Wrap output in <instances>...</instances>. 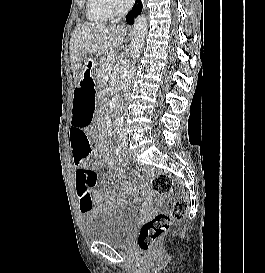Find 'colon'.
Wrapping results in <instances>:
<instances>
[{"instance_id":"5ec220e1","label":"colon","mask_w":265,"mask_h":273,"mask_svg":"<svg viewBox=\"0 0 265 273\" xmlns=\"http://www.w3.org/2000/svg\"><path fill=\"white\" fill-rule=\"evenodd\" d=\"M173 185V179L167 174L160 173L152 178V187L156 193L164 194L170 191ZM187 206V198L180 196L174 200L168 211L160 212L146 221L139 231L137 239L139 247L147 250L154 245L169 230L174 220H180L184 217Z\"/></svg>"}]
</instances>
